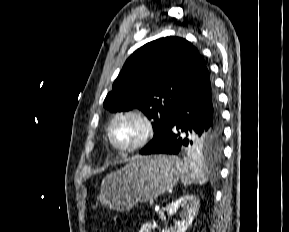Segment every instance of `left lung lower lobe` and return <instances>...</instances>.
<instances>
[{
    "label": "left lung lower lobe",
    "mask_w": 289,
    "mask_h": 232,
    "mask_svg": "<svg viewBox=\"0 0 289 232\" xmlns=\"http://www.w3.org/2000/svg\"><path fill=\"white\" fill-rule=\"evenodd\" d=\"M221 124L216 94L205 66L179 99L165 132L141 155L188 153L196 139L216 136Z\"/></svg>",
    "instance_id": "0a47b994"
}]
</instances>
